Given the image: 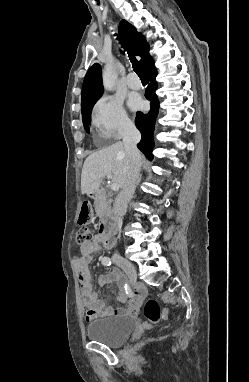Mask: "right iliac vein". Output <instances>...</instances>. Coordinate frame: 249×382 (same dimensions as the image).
<instances>
[{
	"label": "right iliac vein",
	"mask_w": 249,
	"mask_h": 382,
	"mask_svg": "<svg viewBox=\"0 0 249 382\" xmlns=\"http://www.w3.org/2000/svg\"><path fill=\"white\" fill-rule=\"evenodd\" d=\"M114 261L119 267H121L125 271V273L129 276L131 280H136V270L130 261L121 256H116L114 258Z\"/></svg>",
	"instance_id": "63e3f726"
}]
</instances>
